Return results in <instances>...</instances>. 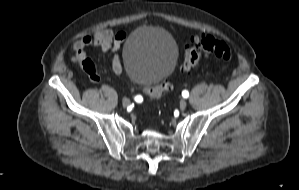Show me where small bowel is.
Returning a JSON list of instances; mask_svg holds the SVG:
<instances>
[{"mask_svg": "<svg viewBox=\"0 0 299 190\" xmlns=\"http://www.w3.org/2000/svg\"><path fill=\"white\" fill-rule=\"evenodd\" d=\"M126 37L127 34L124 31L114 33L111 29L104 28L96 31L92 35L81 38L76 42L75 49H83L85 47L100 48L104 53L110 54L109 61L113 71L117 74H121L123 72V66L116 51L122 46ZM89 77L92 81L99 80L97 72L93 75H89Z\"/></svg>", "mask_w": 299, "mask_h": 190, "instance_id": "obj_1", "label": "small bowel"}]
</instances>
